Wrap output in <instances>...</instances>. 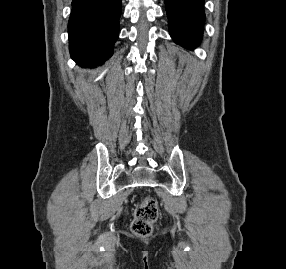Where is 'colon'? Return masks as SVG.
Instances as JSON below:
<instances>
[{
    "label": "colon",
    "mask_w": 286,
    "mask_h": 269,
    "mask_svg": "<svg viewBox=\"0 0 286 269\" xmlns=\"http://www.w3.org/2000/svg\"><path fill=\"white\" fill-rule=\"evenodd\" d=\"M159 215L157 202L151 197H145L136 206L131 222L132 232L140 237L149 236Z\"/></svg>",
    "instance_id": "5ec220e1"
}]
</instances>
